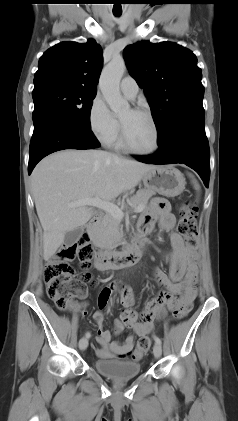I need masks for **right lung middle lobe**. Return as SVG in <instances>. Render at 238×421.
I'll list each match as a JSON object with an SVG mask.
<instances>
[{"label": "right lung middle lobe", "instance_id": "1", "mask_svg": "<svg viewBox=\"0 0 238 421\" xmlns=\"http://www.w3.org/2000/svg\"><path fill=\"white\" fill-rule=\"evenodd\" d=\"M33 122L43 113L57 114L79 128L91 131L90 111L96 91L49 83L34 87Z\"/></svg>", "mask_w": 238, "mask_h": 421}]
</instances>
